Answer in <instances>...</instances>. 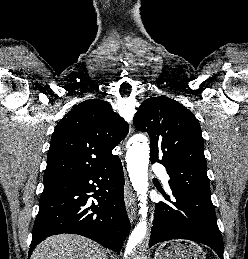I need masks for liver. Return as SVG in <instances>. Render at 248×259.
<instances>
[{
    "instance_id": "liver-1",
    "label": "liver",
    "mask_w": 248,
    "mask_h": 259,
    "mask_svg": "<svg viewBox=\"0 0 248 259\" xmlns=\"http://www.w3.org/2000/svg\"><path fill=\"white\" fill-rule=\"evenodd\" d=\"M31 259H107V251L83 236L60 234L38 244Z\"/></svg>"
}]
</instances>
